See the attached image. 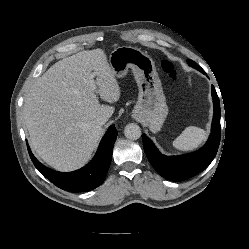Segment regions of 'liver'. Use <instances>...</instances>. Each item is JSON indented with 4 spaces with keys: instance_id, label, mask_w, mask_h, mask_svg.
I'll return each instance as SVG.
<instances>
[{
    "instance_id": "1",
    "label": "liver",
    "mask_w": 249,
    "mask_h": 249,
    "mask_svg": "<svg viewBox=\"0 0 249 249\" xmlns=\"http://www.w3.org/2000/svg\"><path fill=\"white\" fill-rule=\"evenodd\" d=\"M95 78V79H94ZM120 87L102 49L82 51L52 65L26 94L23 119L32 149L58 171L85 165L96 148L102 125L111 117Z\"/></svg>"
}]
</instances>
